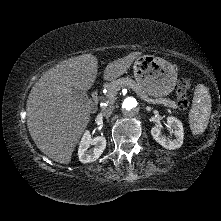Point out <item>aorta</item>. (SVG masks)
<instances>
[{
	"label": "aorta",
	"mask_w": 221,
	"mask_h": 221,
	"mask_svg": "<svg viewBox=\"0 0 221 221\" xmlns=\"http://www.w3.org/2000/svg\"><path fill=\"white\" fill-rule=\"evenodd\" d=\"M121 110L126 116H135L140 110V105L135 97H126L122 104Z\"/></svg>",
	"instance_id": "obj_1"
}]
</instances>
